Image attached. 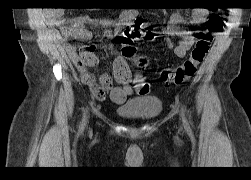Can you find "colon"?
<instances>
[{"mask_svg": "<svg viewBox=\"0 0 251 180\" xmlns=\"http://www.w3.org/2000/svg\"><path fill=\"white\" fill-rule=\"evenodd\" d=\"M221 24V17L213 13L208 19L207 30H209V32L217 31ZM156 38L157 34L155 32L143 27L140 23L134 24L132 27L126 29L118 38L121 44L122 57L125 59H133L139 66L144 67L147 64V60L144 57L136 55L134 43L139 40L154 41ZM210 45V33L207 31L198 32L196 43L190 55L178 67L163 70L160 76L161 80L165 83L179 86L191 79L207 55Z\"/></svg>", "mask_w": 251, "mask_h": 180, "instance_id": "5ec220e1", "label": "colon"}]
</instances>
